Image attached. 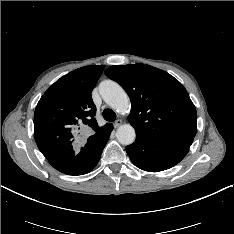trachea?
<instances>
[{"instance_id":"3493384b","label":"trachea","mask_w":234,"mask_h":234,"mask_svg":"<svg viewBox=\"0 0 234 234\" xmlns=\"http://www.w3.org/2000/svg\"><path fill=\"white\" fill-rule=\"evenodd\" d=\"M102 115L106 121L113 122L116 119V113L111 109H104Z\"/></svg>"}]
</instances>
